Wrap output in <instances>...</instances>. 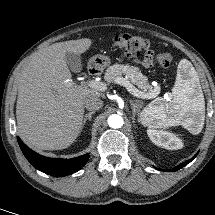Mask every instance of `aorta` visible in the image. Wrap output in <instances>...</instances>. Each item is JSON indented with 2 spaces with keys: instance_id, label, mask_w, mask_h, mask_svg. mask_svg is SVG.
I'll list each match as a JSON object with an SVG mask.
<instances>
[{
  "instance_id": "1",
  "label": "aorta",
  "mask_w": 215,
  "mask_h": 215,
  "mask_svg": "<svg viewBox=\"0 0 215 215\" xmlns=\"http://www.w3.org/2000/svg\"><path fill=\"white\" fill-rule=\"evenodd\" d=\"M124 124L123 118L119 115H111L108 118V125L111 128H121Z\"/></svg>"
}]
</instances>
